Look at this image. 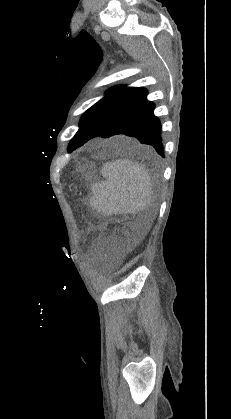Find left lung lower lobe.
I'll return each instance as SVG.
<instances>
[{
  "label": "left lung lower lobe",
  "instance_id": "left-lung-lower-lobe-1",
  "mask_svg": "<svg viewBox=\"0 0 231 419\" xmlns=\"http://www.w3.org/2000/svg\"><path fill=\"white\" fill-rule=\"evenodd\" d=\"M147 94L146 89L137 88L128 99L110 111L76 148L95 137L109 138L121 134L151 145L164 157L161 124L153 113L155 105L147 100Z\"/></svg>",
  "mask_w": 231,
  "mask_h": 419
}]
</instances>
